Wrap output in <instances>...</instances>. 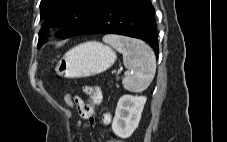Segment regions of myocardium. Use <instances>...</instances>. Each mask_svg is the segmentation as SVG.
Masks as SVG:
<instances>
[{
  "mask_svg": "<svg viewBox=\"0 0 227 142\" xmlns=\"http://www.w3.org/2000/svg\"><path fill=\"white\" fill-rule=\"evenodd\" d=\"M62 20V18L60 16H58L56 19H55V23H59L60 21Z\"/></svg>",
  "mask_w": 227,
  "mask_h": 142,
  "instance_id": "1",
  "label": "myocardium"
}]
</instances>
